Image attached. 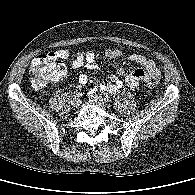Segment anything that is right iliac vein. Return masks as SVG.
Here are the masks:
<instances>
[{
    "mask_svg": "<svg viewBox=\"0 0 195 195\" xmlns=\"http://www.w3.org/2000/svg\"><path fill=\"white\" fill-rule=\"evenodd\" d=\"M80 103H81V99H79V98H74L73 99V101H72V105L74 106V107H78L79 105H80Z\"/></svg>",
    "mask_w": 195,
    "mask_h": 195,
    "instance_id": "63e3f726",
    "label": "right iliac vein"
}]
</instances>
